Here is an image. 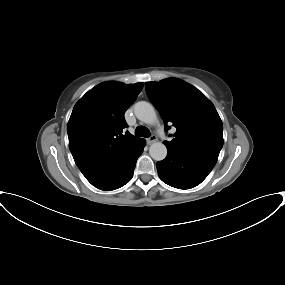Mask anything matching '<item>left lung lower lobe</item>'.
Listing matches in <instances>:
<instances>
[{
	"label": "left lung lower lobe",
	"mask_w": 285,
	"mask_h": 285,
	"mask_svg": "<svg viewBox=\"0 0 285 285\" xmlns=\"http://www.w3.org/2000/svg\"><path fill=\"white\" fill-rule=\"evenodd\" d=\"M167 157L157 162L161 180L178 189H190L200 184L216 163L194 155L167 148Z\"/></svg>",
	"instance_id": "0a47b994"
}]
</instances>
